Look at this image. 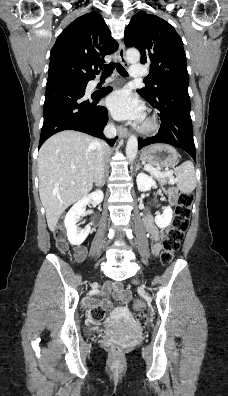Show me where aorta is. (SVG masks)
Wrapping results in <instances>:
<instances>
[{
  "label": "aorta",
  "instance_id": "obj_1",
  "mask_svg": "<svg viewBox=\"0 0 228 396\" xmlns=\"http://www.w3.org/2000/svg\"><path fill=\"white\" fill-rule=\"evenodd\" d=\"M126 60L130 63H136L140 60V52L137 49H128L126 52ZM138 150V140L135 135H131L126 145V156L131 162L136 158Z\"/></svg>",
  "mask_w": 228,
  "mask_h": 396
}]
</instances>
